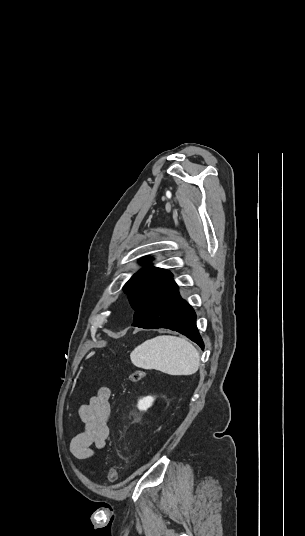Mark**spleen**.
I'll return each mask as SVG.
<instances>
[{"instance_id":"spleen-1","label":"spleen","mask_w":305,"mask_h":536,"mask_svg":"<svg viewBox=\"0 0 305 536\" xmlns=\"http://www.w3.org/2000/svg\"><path fill=\"white\" fill-rule=\"evenodd\" d=\"M130 360L137 368L159 370L170 376H191L200 366L199 354L193 344L176 336L147 340L131 352Z\"/></svg>"}]
</instances>
